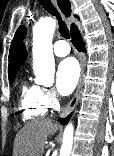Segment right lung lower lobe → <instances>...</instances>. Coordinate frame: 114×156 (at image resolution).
I'll list each match as a JSON object with an SVG mask.
<instances>
[{"label": "right lung lower lobe", "mask_w": 114, "mask_h": 156, "mask_svg": "<svg viewBox=\"0 0 114 156\" xmlns=\"http://www.w3.org/2000/svg\"><path fill=\"white\" fill-rule=\"evenodd\" d=\"M71 35H72V43L73 45L79 50V51H84L85 47H84V43L81 39V35L80 32L78 30V28L76 26H74L73 28H71ZM70 118V115L64 119H60V122L65 125L68 120Z\"/></svg>", "instance_id": "obj_1"}]
</instances>
